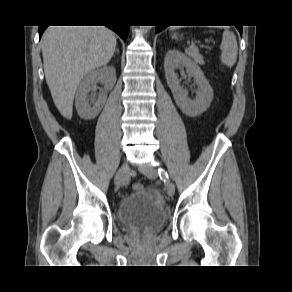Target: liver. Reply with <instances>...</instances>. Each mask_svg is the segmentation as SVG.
<instances>
[{"mask_svg": "<svg viewBox=\"0 0 292 292\" xmlns=\"http://www.w3.org/2000/svg\"><path fill=\"white\" fill-rule=\"evenodd\" d=\"M41 48L53 101L62 116L71 119L81 79L110 61L116 48L115 33L105 26H49Z\"/></svg>", "mask_w": 292, "mask_h": 292, "instance_id": "liver-1", "label": "liver"}]
</instances>
